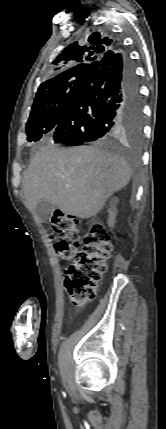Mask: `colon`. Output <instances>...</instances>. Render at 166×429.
Masks as SVG:
<instances>
[{
  "label": "colon",
  "mask_w": 166,
  "mask_h": 429,
  "mask_svg": "<svg viewBox=\"0 0 166 429\" xmlns=\"http://www.w3.org/2000/svg\"><path fill=\"white\" fill-rule=\"evenodd\" d=\"M52 228L59 235L54 244L57 255L73 261L64 280L70 302L74 307H83L96 297L98 283L107 270L112 250L110 236L102 224L92 223L80 247L75 218L59 211L52 217Z\"/></svg>",
  "instance_id": "5ec220e1"
}]
</instances>
